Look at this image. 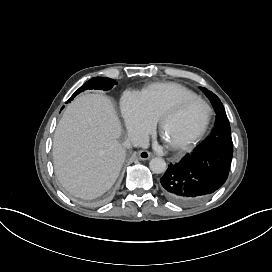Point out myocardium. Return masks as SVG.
I'll return each mask as SVG.
<instances>
[{
  "mask_svg": "<svg viewBox=\"0 0 272 272\" xmlns=\"http://www.w3.org/2000/svg\"><path fill=\"white\" fill-rule=\"evenodd\" d=\"M193 104H198L203 108L204 116L201 124L184 141V148L194 143L207 129L211 118V108L209 104L199 97L178 98L161 114V127L165 130L167 128L166 120L168 115L180 113Z\"/></svg>",
  "mask_w": 272,
  "mask_h": 272,
  "instance_id": "myocardium-1",
  "label": "myocardium"
}]
</instances>
